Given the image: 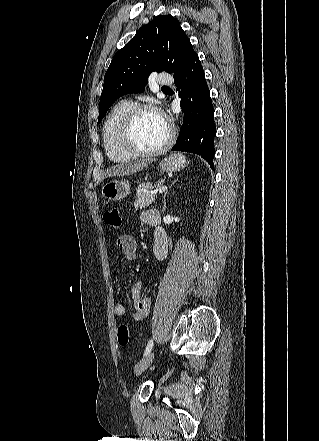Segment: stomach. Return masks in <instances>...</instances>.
<instances>
[{
	"label": "stomach",
	"mask_w": 319,
	"mask_h": 441,
	"mask_svg": "<svg viewBox=\"0 0 319 441\" xmlns=\"http://www.w3.org/2000/svg\"><path fill=\"white\" fill-rule=\"evenodd\" d=\"M186 166L185 157L180 154H172L160 163L162 172L180 171ZM130 193V184L123 179L108 181L101 190L103 198L107 201H119Z\"/></svg>",
	"instance_id": "stomach-1"
}]
</instances>
